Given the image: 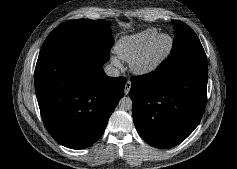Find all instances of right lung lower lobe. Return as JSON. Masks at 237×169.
Here are the masks:
<instances>
[{
    "mask_svg": "<svg viewBox=\"0 0 237 169\" xmlns=\"http://www.w3.org/2000/svg\"><path fill=\"white\" fill-rule=\"evenodd\" d=\"M109 51L95 45L43 47L35 68V90L51 136L71 149H83L103 134L123 96L126 79L108 77Z\"/></svg>",
    "mask_w": 237,
    "mask_h": 169,
    "instance_id": "right-lung-lower-lobe-1",
    "label": "right lung lower lobe"
}]
</instances>
